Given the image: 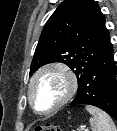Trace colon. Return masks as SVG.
<instances>
[{"instance_id": "obj_1", "label": "colon", "mask_w": 117, "mask_h": 131, "mask_svg": "<svg viewBox=\"0 0 117 131\" xmlns=\"http://www.w3.org/2000/svg\"><path fill=\"white\" fill-rule=\"evenodd\" d=\"M33 131H65L62 127L59 125H53V124H46V125H38L36 126Z\"/></svg>"}]
</instances>
